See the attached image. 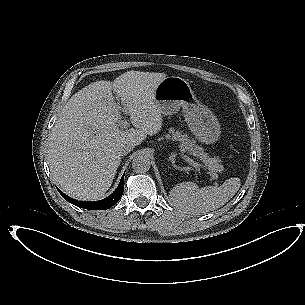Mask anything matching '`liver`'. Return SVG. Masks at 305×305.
Returning <instances> with one entry per match:
<instances>
[{"instance_id": "6515ba94", "label": "liver", "mask_w": 305, "mask_h": 305, "mask_svg": "<svg viewBox=\"0 0 305 305\" xmlns=\"http://www.w3.org/2000/svg\"><path fill=\"white\" fill-rule=\"evenodd\" d=\"M159 74L151 88L123 81H96L75 93L63 107L48 140V164L53 180L79 200H98L110 188L123 154L120 145H139L157 134L162 115L154 101ZM136 129L118 126L121 114Z\"/></svg>"}]
</instances>
